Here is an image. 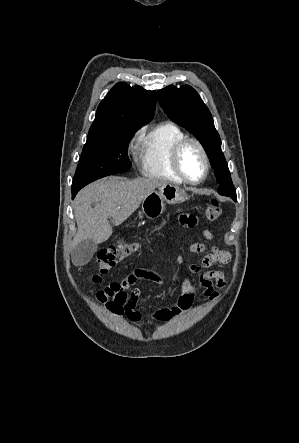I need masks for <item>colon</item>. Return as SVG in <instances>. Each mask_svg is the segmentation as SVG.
Segmentation results:
<instances>
[{
    "mask_svg": "<svg viewBox=\"0 0 299 443\" xmlns=\"http://www.w3.org/2000/svg\"><path fill=\"white\" fill-rule=\"evenodd\" d=\"M222 215L221 203L213 199L207 206L206 216L211 222L218 220ZM138 248L137 243L120 240L115 244L104 247L98 251L97 261L99 271L94 276L95 281H100L111 269L123 259L133 255Z\"/></svg>",
    "mask_w": 299,
    "mask_h": 443,
    "instance_id": "colon-1",
    "label": "colon"
}]
</instances>
